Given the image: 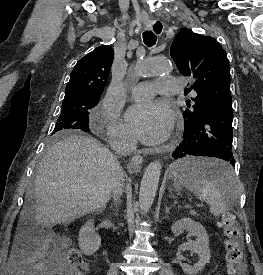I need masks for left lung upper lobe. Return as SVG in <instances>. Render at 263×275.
<instances>
[{
  "label": "left lung upper lobe",
  "mask_w": 263,
  "mask_h": 275,
  "mask_svg": "<svg viewBox=\"0 0 263 275\" xmlns=\"http://www.w3.org/2000/svg\"><path fill=\"white\" fill-rule=\"evenodd\" d=\"M170 54L180 73L192 79L190 90L197 92V97L192 98L193 111L183 112L185 126L197 123L218 103L231 101L226 51L214 38L183 28L171 45Z\"/></svg>",
  "instance_id": "obj_1"
}]
</instances>
